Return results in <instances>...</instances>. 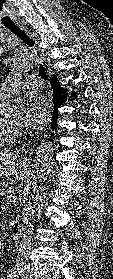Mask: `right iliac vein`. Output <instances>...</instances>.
Returning <instances> with one entry per match:
<instances>
[{"label":"right iliac vein","mask_w":113,"mask_h":279,"mask_svg":"<svg viewBox=\"0 0 113 279\" xmlns=\"http://www.w3.org/2000/svg\"><path fill=\"white\" fill-rule=\"evenodd\" d=\"M22 270H24V271H28V270H26V268H22Z\"/></svg>","instance_id":"obj_1"}]
</instances>
